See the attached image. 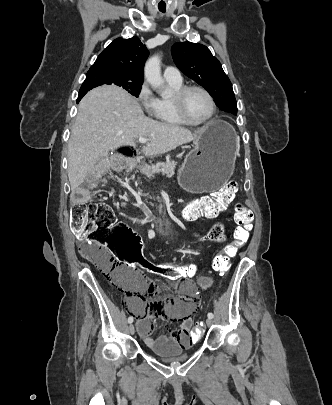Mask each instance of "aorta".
Returning <instances> with one entry per match:
<instances>
[{
	"mask_svg": "<svg viewBox=\"0 0 332 405\" xmlns=\"http://www.w3.org/2000/svg\"><path fill=\"white\" fill-rule=\"evenodd\" d=\"M144 76L153 89L162 91L164 80L161 76V58L159 55H154L146 61Z\"/></svg>",
	"mask_w": 332,
	"mask_h": 405,
	"instance_id": "762f6f07",
	"label": "aorta"
}]
</instances>
